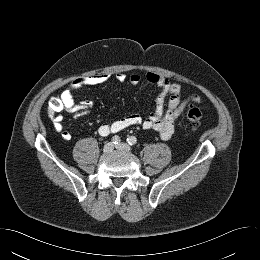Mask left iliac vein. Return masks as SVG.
Instances as JSON below:
<instances>
[{"label":"left iliac vein","mask_w":260,"mask_h":260,"mask_svg":"<svg viewBox=\"0 0 260 260\" xmlns=\"http://www.w3.org/2000/svg\"><path fill=\"white\" fill-rule=\"evenodd\" d=\"M116 148L119 150L126 151V152H129L131 150L130 146L126 143H119L116 145Z\"/></svg>","instance_id":"left-iliac-vein-1"}]
</instances>
